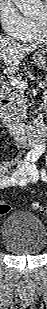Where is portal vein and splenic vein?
Masks as SVG:
<instances>
[{"label": "portal vein and splenic vein", "mask_w": 47, "mask_h": 309, "mask_svg": "<svg viewBox=\"0 0 47 309\" xmlns=\"http://www.w3.org/2000/svg\"><path fill=\"white\" fill-rule=\"evenodd\" d=\"M10 84L15 87L16 89H26L28 87V84L26 81L18 79V78H11L10 79ZM41 87H45L46 84L44 82L40 83Z\"/></svg>", "instance_id": "obj_1"}]
</instances>
